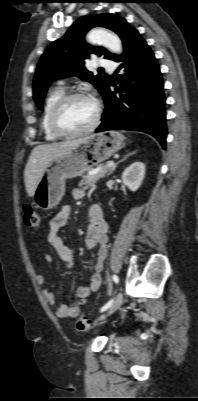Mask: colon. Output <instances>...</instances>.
I'll use <instances>...</instances> for the list:
<instances>
[{
  "label": "colon",
  "mask_w": 198,
  "mask_h": 401,
  "mask_svg": "<svg viewBox=\"0 0 198 401\" xmlns=\"http://www.w3.org/2000/svg\"><path fill=\"white\" fill-rule=\"evenodd\" d=\"M24 219L26 226L30 228H37L40 226V215L35 209L31 207H25ZM86 323L91 324V319L87 315H83L79 320V325H84Z\"/></svg>",
  "instance_id": "obj_1"
}]
</instances>
